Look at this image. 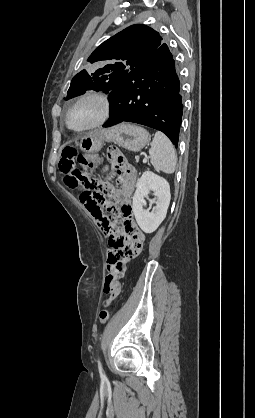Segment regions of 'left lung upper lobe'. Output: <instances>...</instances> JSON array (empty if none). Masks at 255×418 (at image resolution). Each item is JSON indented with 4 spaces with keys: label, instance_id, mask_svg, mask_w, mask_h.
<instances>
[{
    "label": "left lung upper lobe",
    "instance_id": "left-lung-upper-lobe-1",
    "mask_svg": "<svg viewBox=\"0 0 255 418\" xmlns=\"http://www.w3.org/2000/svg\"><path fill=\"white\" fill-rule=\"evenodd\" d=\"M162 37L152 28L132 25L103 42L88 58L97 69L82 70L71 81L66 100L85 90L110 93L127 74L151 57L161 46Z\"/></svg>",
    "mask_w": 255,
    "mask_h": 418
}]
</instances>
